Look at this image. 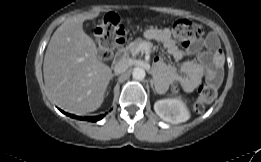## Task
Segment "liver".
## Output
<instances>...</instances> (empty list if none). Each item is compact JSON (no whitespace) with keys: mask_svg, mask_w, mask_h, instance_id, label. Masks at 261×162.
Listing matches in <instances>:
<instances>
[{"mask_svg":"<svg viewBox=\"0 0 261 162\" xmlns=\"http://www.w3.org/2000/svg\"><path fill=\"white\" fill-rule=\"evenodd\" d=\"M100 11L66 19L54 32L43 64L50 97L64 110L85 114L103 103L112 70L97 58L94 41L84 32L83 22Z\"/></svg>","mask_w":261,"mask_h":162,"instance_id":"obj_1","label":"liver"}]
</instances>
